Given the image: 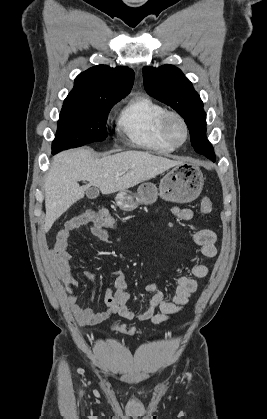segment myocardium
<instances>
[{
	"label": "myocardium",
	"instance_id": "1",
	"mask_svg": "<svg viewBox=\"0 0 267 419\" xmlns=\"http://www.w3.org/2000/svg\"><path fill=\"white\" fill-rule=\"evenodd\" d=\"M172 120H177L184 129V139L181 142L174 141L170 135L169 127ZM160 132L163 139L174 148L183 145L189 137V127L185 118L179 112L174 110H167L163 114L160 122Z\"/></svg>",
	"mask_w": 267,
	"mask_h": 419
}]
</instances>
